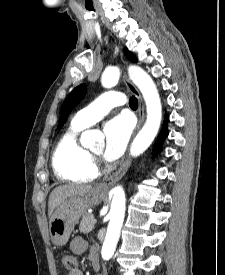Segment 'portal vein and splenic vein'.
Here are the masks:
<instances>
[{"label":"portal vein and splenic vein","instance_id":"portal-vein-and-splenic-vein-1","mask_svg":"<svg viewBox=\"0 0 225 275\" xmlns=\"http://www.w3.org/2000/svg\"><path fill=\"white\" fill-rule=\"evenodd\" d=\"M96 222H97V220L94 218V219H93V223L95 224Z\"/></svg>","mask_w":225,"mask_h":275}]
</instances>
